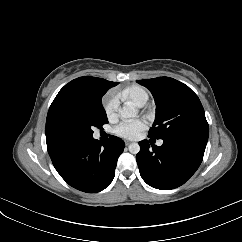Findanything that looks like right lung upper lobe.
<instances>
[{"instance_id": "obj_1", "label": "right lung upper lobe", "mask_w": 242, "mask_h": 242, "mask_svg": "<svg viewBox=\"0 0 242 242\" xmlns=\"http://www.w3.org/2000/svg\"><path fill=\"white\" fill-rule=\"evenodd\" d=\"M117 84L118 82L91 76L79 77L66 84L59 91L48 111L45 129L47 144L62 137L55 133L51 125V116L58 106L66 102L89 103L97 101L109 88Z\"/></svg>"}]
</instances>
